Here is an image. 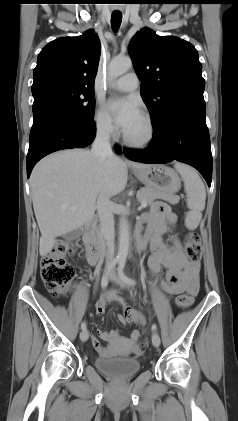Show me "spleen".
<instances>
[{
	"instance_id": "spleen-1",
	"label": "spleen",
	"mask_w": 238,
	"mask_h": 421,
	"mask_svg": "<svg viewBox=\"0 0 238 421\" xmlns=\"http://www.w3.org/2000/svg\"><path fill=\"white\" fill-rule=\"evenodd\" d=\"M174 168L181 175L187 194L185 225L189 230H195L201 219L206 203V189L198 173L188 165L175 163Z\"/></svg>"
}]
</instances>
